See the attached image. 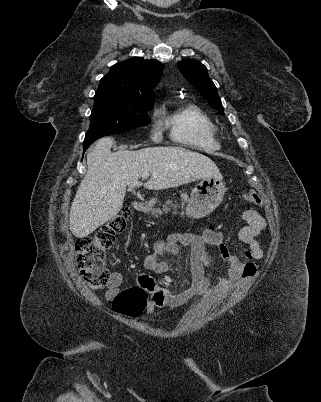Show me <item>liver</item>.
<instances>
[{"label": "liver", "mask_w": 321, "mask_h": 402, "mask_svg": "<svg viewBox=\"0 0 321 402\" xmlns=\"http://www.w3.org/2000/svg\"><path fill=\"white\" fill-rule=\"evenodd\" d=\"M113 139L104 137L87 155V173L72 202L69 226L83 238L114 218L121 210L126 187L142 186L143 172L151 178L143 184L148 190L173 188L192 181L222 178L216 164L207 156L181 147H147L112 153Z\"/></svg>", "instance_id": "liver-1"}]
</instances>
